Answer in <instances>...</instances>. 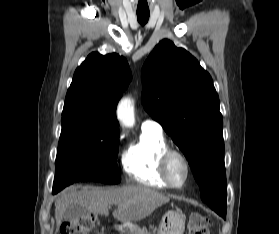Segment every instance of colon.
<instances>
[{
  "label": "colon",
  "instance_id": "5ec220e1",
  "mask_svg": "<svg viewBox=\"0 0 279 234\" xmlns=\"http://www.w3.org/2000/svg\"><path fill=\"white\" fill-rule=\"evenodd\" d=\"M95 220L96 216L94 214H88L66 222L61 227V234H89ZM208 226L209 221L207 217L194 212L189 216L188 234H209Z\"/></svg>",
  "mask_w": 279,
  "mask_h": 234
}]
</instances>
